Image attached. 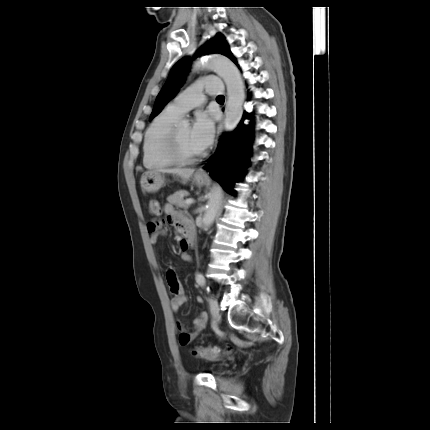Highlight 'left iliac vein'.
I'll use <instances>...</instances> for the list:
<instances>
[{"instance_id":"1","label":"left iliac vein","mask_w":430,"mask_h":430,"mask_svg":"<svg viewBox=\"0 0 430 430\" xmlns=\"http://www.w3.org/2000/svg\"><path fill=\"white\" fill-rule=\"evenodd\" d=\"M210 311L213 317V323L215 325H218L220 322V313H219V306L216 300L210 303Z\"/></svg>"}]
</instances>
